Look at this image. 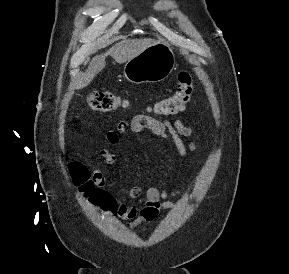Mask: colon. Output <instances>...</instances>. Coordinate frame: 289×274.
<instances>
[{"instance_id":"1","label":"colon","mask_w":289,"mask_h":274,"mask_svg":"<svg viewBox=\"0 0 289 274\" xmlns=\"http://www.w3.org/2000/svg\"><path fill=\"white\" fill-rule=\"evenodd\" d=\"M194 91V81L189 71L183 70L179 73L175 91L168 97L156 102L153 112L161 116H169L183 111L190 102ZM86 104L93 111L109 112L117 110L126 105V101L119 95L110 91H93L88 94ZM70 169L75 183L85 192L86 196L97 205L113 208L112 196L99 188L94 187V182L85 166L73 162Z\"/></svg>"}]
</instances>
